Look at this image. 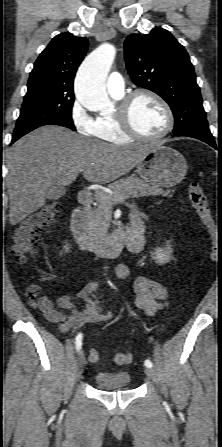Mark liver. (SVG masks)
Masks as SVG:
<instances>
[{"mask_svg": "<svg viewBox=\"0 0 222 447\" xmlns=\"http://www.w3.org/2000/svg\"><path fill=\"white\" fill-rule=\"evenodd\" d=\"M153 146L112 145L60 126L32 131L7 153L10 224L43 207L52 185L68 186L81 171L89 182L109 183L131 171Z\"/></svg>", "mask_w": 222, "mask_h": 447, "instance_id": "obj_1", "label": "liver"}]
</instances>
